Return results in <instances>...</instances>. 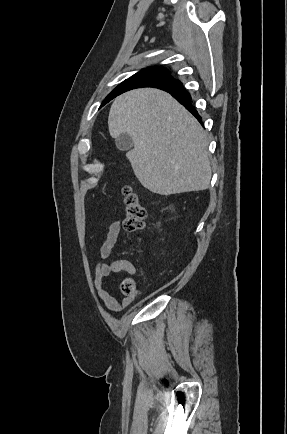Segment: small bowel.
<instances>
[{
	"instance_id": "c3829d8e",
	"label": "small bowel",
	"mask_w": 287,
	"mask_h": 434,
	"mask_svg": "<svg viewBox=\"0 0 287 434\" xmlns=\"http://www.w3.org/2000/svg\"><path fill=\"white\" fill-rule=\"evenodd\" d=\"M121 231L120 221H113L105 234V238L100 246V257L107 260L111 257L114 246L117 243ZM126 271L134 273V266L126 259H115L111 262L100 261L96 265L94 282L97 288L98 296L103 304L113 312H120L127 306L131 305L137 297V294L124 298H117L107 289V280L115 273Z\"/></svg>"
}]
</instances>
